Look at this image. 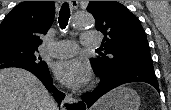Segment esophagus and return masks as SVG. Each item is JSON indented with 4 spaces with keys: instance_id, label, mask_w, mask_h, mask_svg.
<instances>
[{
    "instance_id": "obj_1",
    "label": "esophagus",
    "mask_w": 171,
    "mask_h": 110,
    "mask_svg": "<svg viewBox=\"0 0 171 110\" xmlns=\"http://www.w3.org/2000/svg\"><path fill=\"white\" fill-rule=\"evenodd\" d=\"M69 5L73 10H76L78 8V1H69ZM78 101L73 97L72 94H67L62 106L66 110H76Z\"/></svg>"
}]
</instances>
